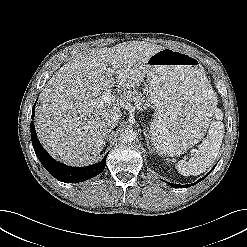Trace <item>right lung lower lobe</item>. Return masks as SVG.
<instances>
[{"mask_svg": "<svg viewBox=\"0 0 247 247\" xmlns=\"http://www.w3.org/2000/svg\"><path fill=\"white\" fill-rule=\"evenodd\" d=\"M34 114L35 104L32 109V118H34ZM31 139L34 151L40 162L44 168L59 181L66 183L82 182L100 174L106 166L107 154L101 162L86 167H69L55 161L40 144L33 122H31Z\"/></svg>", "mask_w": 247, "mask_h": 247, "instance_id": "obj_1", "label": "right lung lower lobe"}]
</instances>
